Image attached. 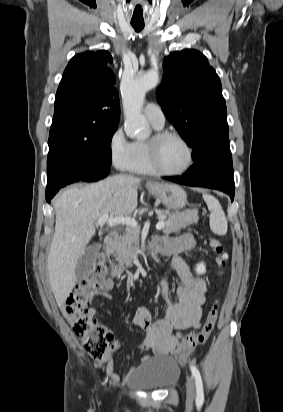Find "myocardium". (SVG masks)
I'll return each mask as SVG.
<instances>
[{
    "label": "myocardium",
    "instance_id": "1",
    "mask_svg": "<svg viewBox=\"0 0 283 412\" xmlns=\"http://www.w3.org/2000/svg\"><path fill=\"white\" fill-rule=\"evenodd\" d=\"M176 138L181 141L188 150V162L186 166L179 171H166L161 168L159 164V150L162 142L167 138ZM148 155L150 164L155 172V174L166 176V177H176L186 174L192 167L195 161V153L192 144L179 132L173 130H158L147 142Z\"/></svg>",
    "mask_w": 283,
    "mask_h": 412
}]
</instances>
